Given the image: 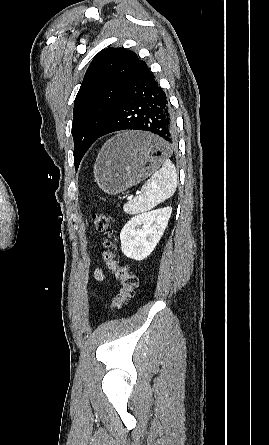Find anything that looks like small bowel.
<instances>
[{"label":"small bowel","instance_id":"obj_1","mask_svg":"<svg viewBox=\"0 0 269 445\" xmlns=\"http://www.w3.org/2000/svg\"><path fill=\"white\" fill-rule=\"evenodd\" d=\"M94 278L96 281H104L105 280L106 276L101 268L98 267L94 270Z\"/></svg>","mask_w":269,"mask_h":445}]
</instances>
